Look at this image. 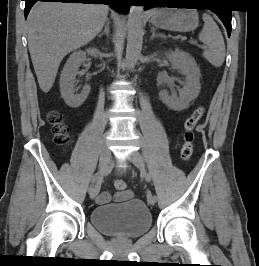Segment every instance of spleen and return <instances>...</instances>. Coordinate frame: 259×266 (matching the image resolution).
Masks as SVG:
<instances>
[{
    "label": "spleen",
    "mask_w": 259,
    "mask_h": 266,
    "mask_svg": "<svg viewBox=\"0 0 259 266\" xmlns=\"http://www.w3.org/2000/svg\"><path fill=\"white\" fill-rule=\"evenodd\" d=\"M204 26L199 33V40L207 45L203 57L214 67H221L225 60V43L219 27L213 18L203 14Z\"/></svg>",
    "instance_id": "1"
}]
</instances>
